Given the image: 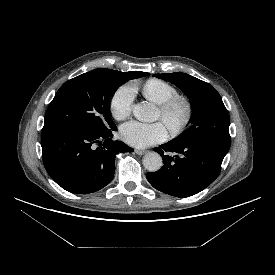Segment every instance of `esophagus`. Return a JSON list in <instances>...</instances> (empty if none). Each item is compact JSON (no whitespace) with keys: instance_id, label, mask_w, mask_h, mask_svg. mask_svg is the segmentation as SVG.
Masks as SVG:
<instances>
[{"instance_id":"esophagus-1","label":"esophagus","mask_w":275,"mask_h":275,"mask_svg":"<svg viewBox=\"0 0 275 275\" xmlns=\"http://www.w3.org/2000/svg\"><path fill=\"white\" fill-rule=\"evenodd\" d=\"M135 153L138 155H144L146 153L145 150L135 149Z\"/></svg>"}]
</instances>
